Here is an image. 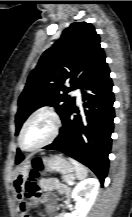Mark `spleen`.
<instances>
[{
    "label": "spleen",
    "mask_w": 132,
    "mask_h": 217,
    "mask_svg": "<svg viewBox=\"0 0 132 217\" xmlns=\"http://www.w3.org/2000/svg\"><path fill=\"white\" fill-rule=\"evenodd\" d=\"M69 160L74 166V169L76 171V177L79 180L86 178L87 174H88V169L84 165H82L81 163H79L78 161H76L72 158H70Z\"/></svg>",
    "instance_id": "spleen-1"
}]
</instances>
